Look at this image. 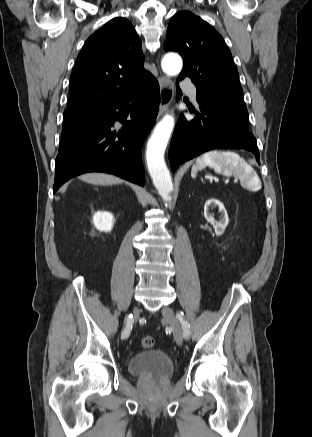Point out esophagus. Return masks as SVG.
I'll list each match as a JSON object with an SVG mask.
<instances>
[{"label": "esophagus", "mask_w": 312, "mask_h": 437, "mask_svg": "<svg viewBox=\"0 0 312 437\" xmlns=\"http://www.w3.org/2000/svg\"><path fill=\"white\" fill-rule=\"evenodd\" d=\"M159 89H160V105L158 118L169 110L170 103L174 96V84L170 77L159 76L158 77Z\"/></svg>", "instance_id": "1"}]
</instances>
